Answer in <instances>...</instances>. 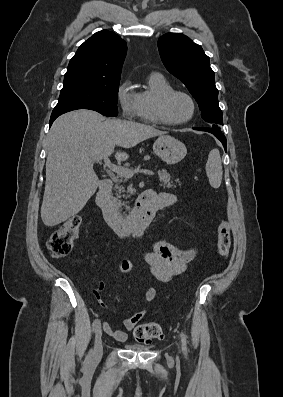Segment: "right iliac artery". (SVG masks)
<instances>
[{"instance_id":"1","label":"right iliac artery","mask_w":283,"mask_h":397,"mask_svg":"<svg viewBox=\"0 0 283 397\" xmlns=\"http://www.w3.org/2000/svg\"><path fill=\"white\" fill-rule=\"evenodd\" d=\"M92 327H93V332H96L98 330V328L100 327V320L95 319L93 321ZM91 356H92V351H90L88 358H91Z\"/></svg>"}]
</instances>
